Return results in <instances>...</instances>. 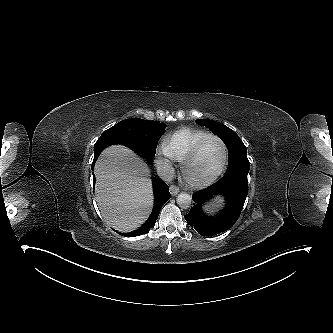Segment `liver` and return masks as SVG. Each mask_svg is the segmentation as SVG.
Wrapping results in <instances>:
<instances>
[{"mask_svg": "<svg viewBox=\"0 0 333 333\" xmlns=\"http://www.w3.org/2000/svg\"><path fill=\"white\" fill-rule=\"evenodd\" d=\"M149 168L123 145L105 149L95 165L96 201L114 229L130 232L148 218L153 206Z\"/></svg>", "mask_w": 333, "mask_h": 333, "instance_id": "1", "label": "liver"}]
</instances>
